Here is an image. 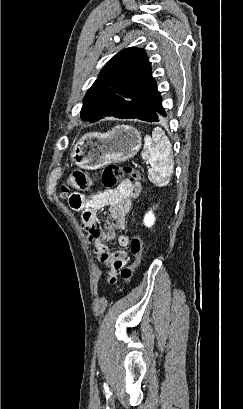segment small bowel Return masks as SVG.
Returning a JSON list of instances; mask_svg holds the SVG:
<instances>
[{"label":"small bowel","instance_id":"1","mask_svg":"<svg viewBox=\"0 0 243 409\" xmlns=\"http://www.w3.org/2000/svg\"><path fill=\"white\" fill-rule=\"evenodd\" d=\"M140 192V183L123 181L115 189L98 191L91 195H73L78 201V205H71V207L82 212V226L87 232L88 239L94 245V251L99 261L109 268L107 272L108 284L117 282L119 271L128 265L131 259L126 251L112 250L106 243L115 237V229H124L132 200L137 198ZM105 207H108L107 223L103 227L98 219L97 211ZM130 243V238L126 234L122 233L118 236V244L121 247H128Z\"/></svg>","mask_w":243,"mask_h":409}]
</instances>
